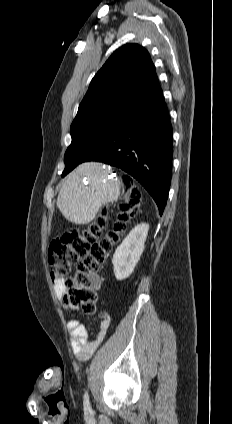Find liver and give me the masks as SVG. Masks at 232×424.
<instances>
[{
  "label": "liver",
  "mask_w": 232,
  "mask_h": 424,
  "mask_svg": "<svg viewBox=\"0 0 232 424\" xmlns=\"http://www.w3.org/2000/svg\"><path fill=\"white\" fill-rule=\"evenodd\" d=\"M110 173L102 163L86 162L67 176L57 197V207L68 221L87 224L106 203L117 201L121 182L108 180Z\"/></svg>",
  "instance_id": "1"
}]
</instances>
